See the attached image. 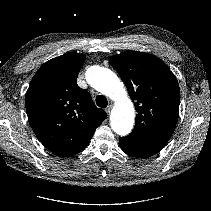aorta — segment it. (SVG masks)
Masks as SVG:
<instances>
[{"label":"aorta","instance_id":"1","mask_svg":"<svg viewBox=\"0 0 211 211\" xmlns=\"http://www.w3.org/2000/svg\"><path fill=\"white\" fill-rule=\"evenodd\" d=\"M86 79L97 91L115 100L110 117L113 131L120 136L129 134L134 124V105L117 75L107 68L92 66L86 72Z\"/></svg>","mask_w":211,"mask_h":211}]
</instances>
